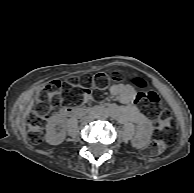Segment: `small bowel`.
Wrapping results in <instances>:
<instances>
[{
    "label": "small bowel",
    "instance_id": "1",
    "mask_svg": "<svg viewBox=\"0 0 194 193\" xmlns=\"http://www.w3.org/2000/svg\"><path fill=\"white\" fill-rule=\"evenodd\" d=\"M110 92L123 104L117 109L119 120L133 122L137 126L135 143L144 145L152 132V124L136 105L137 94L130 84L115 82L110 86Z\"/></svg>",
    "mask_w": 194,
    "mask_h": 193
}]
</instances>
